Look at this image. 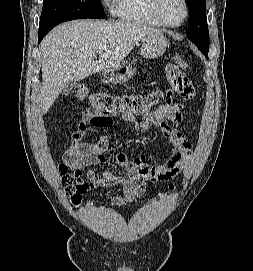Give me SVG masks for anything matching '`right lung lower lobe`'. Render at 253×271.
I'll return each instance as SVG.
<instances>
[{
	"label": "right lung lower lobe",
	"instance_id": "right-lung-lower-lobe-1",
	"mask_svg": "<svg viewBox=\"0 0 253 271\" xmlns=\"http://www.w3.org/2000/svg\"><path fill=\"white\" fill-rule=\"evenodd\" d=\"M47 33H48V32H39L38 43L41 42V40L43 39V37H44Z\"/></svg>",
	"mask_w": 253,
	"mask_h": 271
}]
</instances>
